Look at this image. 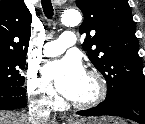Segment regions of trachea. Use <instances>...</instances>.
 Here are the masks:
<instances>
[{
  "label": "trachea",
  "instance_id": "3493384b",
  "mask_svg": "<svg viewBox=\"0 0 145 124\" xmlns=\"http://www.w3.org/2000/svg\"><path fill=\"white\" fill-rule=\"evenodd\" d=\"M42 7H43V11L45 13V16L50 19L53 16V7H52V3L51 0H42Z\"/></svg>",
  "mask_w": 145,
  "mask_h": 124
}]
</instances>
